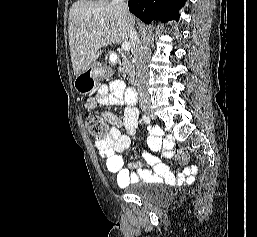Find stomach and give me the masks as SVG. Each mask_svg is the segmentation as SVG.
<instances>
[{"mask_svg":"<svg viewBox=\"0 0 257 237\" xmlns=\"http://www.w3.org/2000/svg\"><path fill=\"white\" fill-rule=\"evenodd\" d=\"M104 75V69L97 63L89 65V67L76 76L74 80V88L80 94H88L97 87L98 79Z\"/></svg>","mask_w":257,"mask_h":237,"instance_id":"stomach-1","label":"stomach"}]
</instances>
